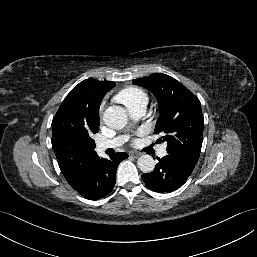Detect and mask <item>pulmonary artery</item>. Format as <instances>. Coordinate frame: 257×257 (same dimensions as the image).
<instances>
[{
    "instance_id": "obj_1",
    "label": "pulmonary artery",
    "mask_w": 257,
    "mask_h": 257,
    "mask_svg": "<svg viewBox=\"0 0 257 257\" xmlns=\"http://www.w3.org/2000/svg\"><path fill=\"white\" fill-rule=\"evenodd\" d=\"M128 111H129L131 117H133L135 119H138L145 114L146 105L133 106V107L129 108ZM125 141H126L125 136H118V137H115L113 139L98 142L97 145H96V150L98 152H102V151H104L106 149H109V148H117V147L121 146ZM166 154H167V151H166V147L164 146L160 149L159 156L163 157Z\"/></svg>"
}]
</instances>
